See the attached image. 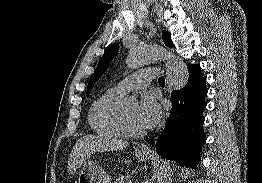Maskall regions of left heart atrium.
Listing matches in <instances>:
<instances>
[{"mask_svg": "<svg viewBox=\"0 0 262 183\" xmlns=\"http://www.w3.org/2000/svg\"><path fill=\"white\" fill-rule=\"evenodd\" d=\"M161 108L157 100L151 94L143 95L138 108L137 119L144 129L153 128L160 120Z\"/></svg>", "mask_w": 262, "mask_h": 183, "instance_id": "39dd6f15", "label": "left heart atrium"}]
</instances>
